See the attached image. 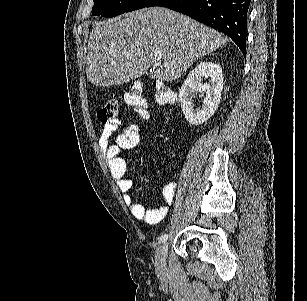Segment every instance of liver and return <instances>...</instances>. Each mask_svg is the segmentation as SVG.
Listing matches in <instances>:
<instances>
[{
	"instance_id": "6515ba94",
	"label": "liver",
	"mask_w": 307,
	"mask_h": 301,
	"mask_svg": "<svg viewBox=\"0 0 307 301\" xmlns=\"http://www.w3.org/2000/svg\"><path fill=\"white\" fill-rule=\"evenodd\" d=\"M86 56L88 80L97 86L124 84L151 70L156 80H176L196 60L228 42V36L163 6L126 12L95 22ZM161 54V58H155ZM162 62H169L164 66Z\"/></svg>"
}]
</instances>
